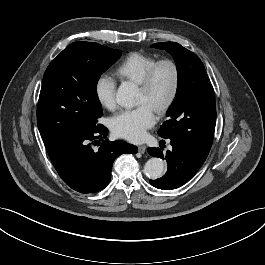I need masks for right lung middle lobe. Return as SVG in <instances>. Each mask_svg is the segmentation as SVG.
<instances>
[{"mask_svg":"<svg viewBox=\"0 0 265 265\" xmlns=\"http://www.w3.org/2000/svg\"><path fill=\"white\" fill-rule=\"evenodd\" d=\"M120 56L98 43L74 42L49 64L37 107L45 146L94 129L102 116L97 82Z\"/></svg>","mask_w":265,"mask_h":265,"instance_id":"right-lung-middle-lobe-1","label":"right lung middle lobe"}]
</instances>
